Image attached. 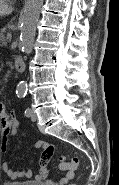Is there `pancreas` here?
I'll list each match as a JSON object with an SVG mask.
<instances>
[{
  "label": "pancreas",
  "instance_id": "pancreas-1",
  "mask_svg": "<svg viewBox=\"0 0 119 185\" xmlns=\"http://www.w3.org/2000/svg\"><path fill=\"white\" fill-rule=\"evenodd\" d=\"M7 45V38L5 36V32L1 31L0 32V46H6Z\"/></svg>",
  "mask_w": 119,
  "mask_h": 185
}]
</instances>
